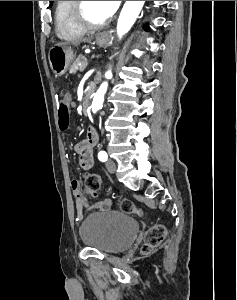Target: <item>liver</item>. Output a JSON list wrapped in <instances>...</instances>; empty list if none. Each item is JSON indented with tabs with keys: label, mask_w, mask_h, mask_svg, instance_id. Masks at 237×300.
Here are the masks:
<instances>
[{
	"label": "liver",
	"mask_w": 237,
	"mask_h": 300,
	"mask_svg": "<svg viewBox=\"0 0 237 300\" xmlns=\"http://www.w3.org/2000/svg\"><path fill=\"white\" fill-rule=\"evenodd\" d=\"M88 39H90V37H88ZM88 39H83V41H88ZM63 45H67V43H57L55 47H63Z\"/></svg>",
	"instance_id": "obj_1"
}]
</instances>
